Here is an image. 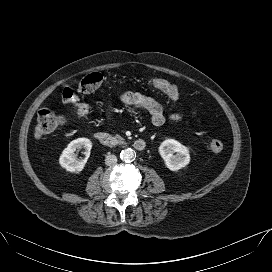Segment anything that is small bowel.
I'll return each instance as SVG.
<instances>
[{
  "label": "small bowel",
  "mask_w": 272,
  "mask_h": 272,
  "mask_svg": "<svg viewBox=\"0 0 272 272\" xmlns=\"http://www.w3.org/2000/svg\"><path fill=\"white\" fill-rule=\"evenodd\" d=\"M120 102L129 108L139 109L147 113L156 127L163 126L168 119L172 121L183 119L180 114H172L167 118L162 106L158 102L140 93L126 92L120 96Z\"/></svg>",
  "instance_id": "c3829d8e"
}]
</instances>
